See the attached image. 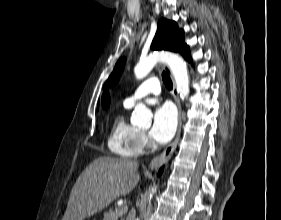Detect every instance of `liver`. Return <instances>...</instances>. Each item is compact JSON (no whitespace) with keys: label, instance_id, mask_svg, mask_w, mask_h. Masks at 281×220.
<instances>
[{"label":"liver","instance_id":"6515ba94","mask_svg":"<svg viewBox=\"0 0 281 220\" xmlns=\"http://www.w3.org/2000/svg\"><path fill=\"white\" fill-rule=\"evenodd\" d=\"M138 162L99 157L78 177L62 220H84L130 193L138 184Z\"/></svg>","mask_w":281,"mask_h":220}]
</instances>
